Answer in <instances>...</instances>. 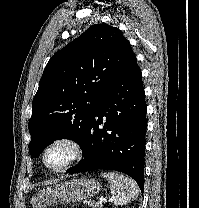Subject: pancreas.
<instances>
[{"label":"pancreas","instance_id":"cf45deb5","mask_svg":"<svg viewBox=\"0 0 199 208\" xmlns=\"http://www.w3.org/2000/svg\"><path fill=\"white\" fill-rule=\"evenodd\" d=\"M88 206L92 207V208H98V204L95 201H88Z\"/></svg>","mask_w":199,"mask_h":208}]
</instances>
